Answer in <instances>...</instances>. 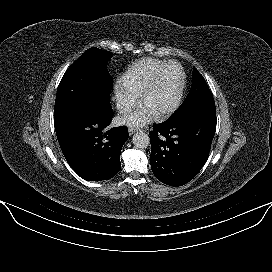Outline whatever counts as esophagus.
<instances>
[{
  "mask_svg": "<svg viewBox=\"0 0 272 272\" xmlns=\"http://www.w3.org/2000/svg\"><path fill=\"white\" fill-rule=\"evenodd\" d=\"M139 130H140V129H138V128L130 127V128L128 129V132H129L130 135H132V134H134L135 132H138Z\"/></svg>",
  "mask_w": 272,
  "mask_h": 272,
  "instance_id": "1",
  "label": "esophagus"
}]
</instances>
